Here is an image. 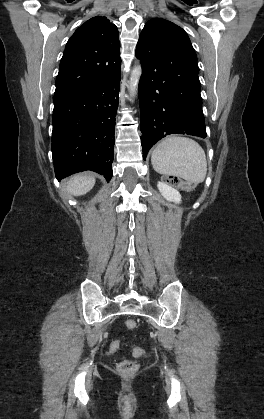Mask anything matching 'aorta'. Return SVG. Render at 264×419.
<instances>
[{"instance_id": "obj_1", "label": "aorta", "mask_w": 264, "mask_h": 419, "mask_svg": "<svg viewBox=\"0 0 264 419\" xmlns=\"http://www.w3.org/2000/svg\"><path fill=\"white\" fill-rule=\"evenodd\" d=\"M141 74H142V67L140 64H138L132 69V72L130 75L129 91H130L131 97H134L137 93Z\"/></svg>"}]
</instances>
